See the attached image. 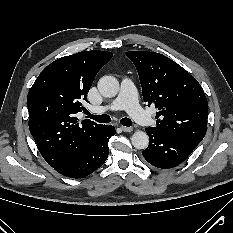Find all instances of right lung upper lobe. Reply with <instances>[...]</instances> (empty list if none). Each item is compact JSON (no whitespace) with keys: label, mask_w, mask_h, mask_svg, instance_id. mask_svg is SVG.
Here are the masks:
<instances>
[{"label":"right lung upper lobe","mask_w":233,"mask_h":233,"mask_svg":"<svg viewBox=\"0 0 233 233\" xmlns=\"http://www.w3.org/2000/svg\"><path fill=\"white\" fill-rule=\"evenodd\" d=\"M107 51H83L49 64L27 97L29 129L45 161L57 167L85 151L107 125L81 123L75 114L84 109L98 71L112 58Z\"/></svg>","instance_id":"right-lung-upper-lobe-1"}]
</instances>
